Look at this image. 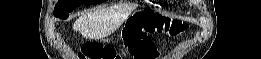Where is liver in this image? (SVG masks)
I'll list each match as a JSON object with an SVG mask.
<instances>
[{"mask_svg": "<svg viewBox=\"0 0 261 59\" xmlns=\"http://www.w3.org/2000/svg\"><path fill=\"white\" fill-rule=\"evenodd\" d=\"M124 19L113 8H97L76 19L73 30L89 39H103L117 30Z\"/></svg>", "mask_w": 261, "mask_h": 59, "instance_id": "1", "label": "liver"}]
</instances>
